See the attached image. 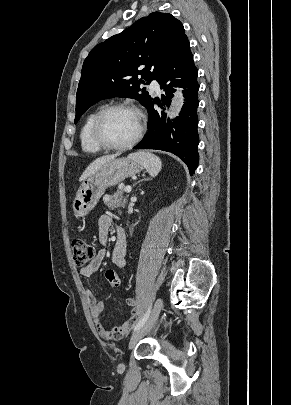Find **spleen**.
<instances>
[{
	"label": "spleen",
	"mask_w": 291,
	"mask_h": 405,
	"mask_svg": "<svg viewBox=\"0 0 291 405\" xmlns=\"http://www.w3.org/2000/svg\"><path fill=\"white\" fill-rule=\"evenodd\" d=\"M129 157L141 164L152 177L157 176L162 168L160 158L149 152H136L130 154Z\"/></svg>",
	"instance_id": "3e777b00"
}]
</instances>
